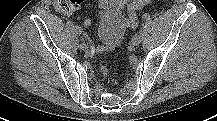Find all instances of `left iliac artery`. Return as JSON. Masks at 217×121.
I'll return each instance as SVG.
<instances>
[{"label":"left iliac artery","instance_id":"obj_1","mask_svg":"<svg viewBox=\"0 0 217 121\" xmlns=\"http://www.w3.org/2000/svg\"><path fill=\"white\" fill-rule=\"evenodd\" d=\"M142 18H143V20H144L145 22H148V21L151 20V17H150L149 14H144Z\"/></svg>","mask_w":217,"mask_h":121}]
</instances>
